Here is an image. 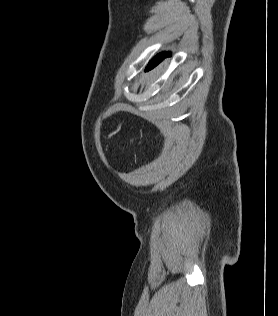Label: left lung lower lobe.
I'll use <instances>...</instances> for the list:
<instances>
[{"instance_id": "0a47b994", "label": "left lung lower lobe", "mask_w": 278, "mask_h": 316, "mask_svg": "<svg viewBox=\"0 0 278 316\" xmlns=\"http://www.w3.org/2000/svg\"><path fill=\"white\" fill-rule=\"evenodd\" d=\"M170 55H171L170 52L162 53V56H161L160 61L158 62V64H159L165 57L170 56ZM158 64H157V65H158Z\"/></svg>"}]
</instances>
